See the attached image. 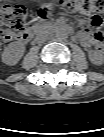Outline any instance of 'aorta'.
Here are the masks:
<instances>
[{"label":"aorta","instance_id":"aorta-1","mask_svg":"<svg viewBox=\"0 0 104 137\" xmlns=\"http://www.w3.org/2000/svg\"><path fill=\"white\" fill-rule=\"evenodd\" d=\"M67 36L65 31L59 30L56 34L55 37L58 39H64Z\"/></svg>","mask_w":104,"mask_h":137}]
</instances>
